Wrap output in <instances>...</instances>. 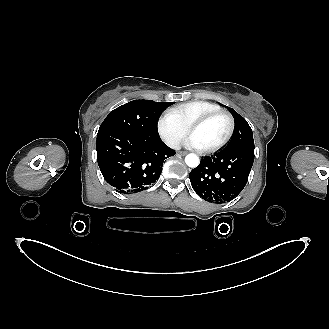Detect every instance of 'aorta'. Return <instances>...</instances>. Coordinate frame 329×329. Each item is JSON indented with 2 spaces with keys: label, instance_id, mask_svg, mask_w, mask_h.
Masks as SVG:
<instances>
[{
  "label": "aorta",
  "instance_id": "762f6f07",
  "mask_svg": "<svg viewBox=\"0 0 329 329\" xmlns=\"http://www.w3.org/2000/svg\"><path fill=\"white\" fill-rule=\"evenodd\" d=\"M185 163L188 167L196 168L200 164V160L196 154L190 153V154L186 155Z\"/></svg>",
  "mask_w": 329,
  "mask_h": 329
}]
</instances>
